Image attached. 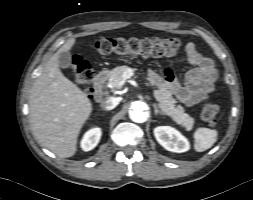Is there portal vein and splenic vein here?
I'll return each instance as SVG.
<instances>
[{
  "mask_svg": "<svg viewBox=\"0 0 253 200\" xmlns=\"http://www.w3.org/2000/svg\"><path fill=\"white\" fill-rule=\"evenodd\" d=\"M133 75L134 74L132 70L125 72L122 76V80L118 83V88H121L125 84L127 79L131 78Z\"/></svg>",
  "mask_w": 253,
  "mask_h": 200,
  "instance_id": "18ae733b",
  "label": "portal vein and splenic vein"
}]
</instances>
